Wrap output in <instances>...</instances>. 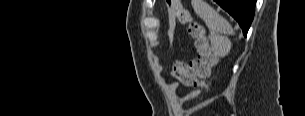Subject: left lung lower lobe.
<instances>
[{
	"mask_svg": "<svg viewBox=\"0 0 305 116\" xmlns=\"http://www.w3.org/2000/svg\"><path fill=\"white\" fill-rule=\"evenodd\" d=\"M215 2L239 23L246 36L254 17L256 0H215Z\"/></svg>",
	"mask_w": 305,
	"mask_h": 116,
	"instance_id": "1",
	"label": "left lung lower lobe"
}]
</instances>
